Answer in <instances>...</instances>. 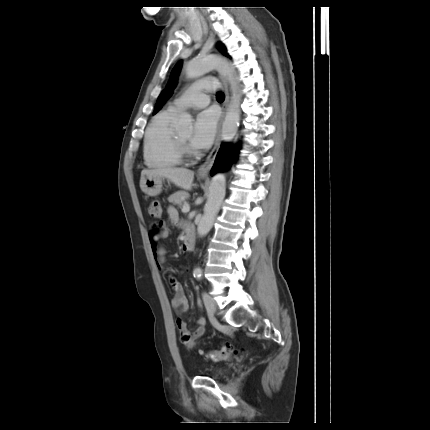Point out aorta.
I'll use <instances>...</instances> for the list:
<instances>
[{"mask_svg":"<svg viewBox=\"0 0 430 430\" xmlns=\"http://www.w3.org/2000/svg\"><path fill=\"white\" fill-rule=\"evenodd\" d=\"M213 69L222 71L230 83L232 97L223 122L221 138L223 141H231L237 132L241 114V96L233 69L226 60L217 55L197 56L188 60L184 65V71L188 78L201 77ZM177 126L181 131H191L192 116L186 112L181 113ZM225 183V175L222 173L214 175L211 180L204 214L197 227V234L200 237L207 235L214 224V220L225 197Z\"/></svg>","mask_w":430,"mask_h":430,"instance_id":"aorta-1","label":"aorta"}]
</instances>
